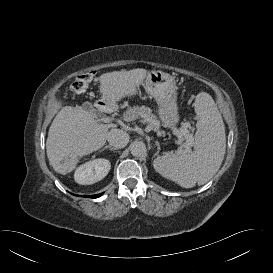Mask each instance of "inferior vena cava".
<instances>
[{"instance_id":"inferior-vena-cava-1","label":"inferior vena cava","mask_w":273,"mask_h":273,"mask_svg":"<svg viewBox=\"0 0 273 273\" xmlns=\"http://www.w3.org/2000/svg\"><path fill=\"white\" fill-rule=\"evenodd\" d=\"M107 141L116 149L124 148L129 142V134L120 129H112L107 134Z\"/></svg>"}]
</instances>
